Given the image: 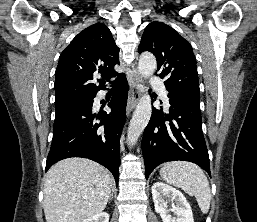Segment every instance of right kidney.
<instances>
[{
  "mask_svg": "<svg viewBox=\"0 0 257 222\" xmlns=\"http://www.w3.org/2000/svg\"><path fill=\"white\" fill-rule=\"evenodd\" d=\"M83 222H109V214L101 212L83 220Z\"/></svg>",
  "mask_w": 257,
  "mask_h": 222,
  "instance_id": "ca27d5eb",
  "label": "right kidney"
}]
</instances>
